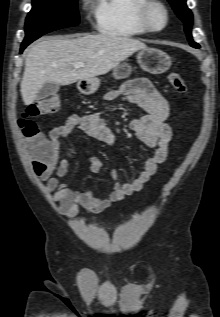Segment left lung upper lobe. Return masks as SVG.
I'll list each match as a JSON object with an SVG mask.
<instances>
[{
    "label": "left lung upper lobe",
    "instance_id": "5c2ea615",
    "mask_svg": "<svg viewBox=\"0 0 220 317\" xmlns=\"http://www.w3.org/2000/svg\"><path fill=\"white\" fill-rule=\"evenodd\" d=\"M172 5L174 11L178 17L185 24V32L187 33L188 40L190 41L191 46H199L197 43L193 42L191 34V26L193 21V15L190 9L186 5V0H168ZM200 47V46H199Z\"/></svg>",
    "mask_w": 220,
    "mask_h": 317
}]
</instances>
